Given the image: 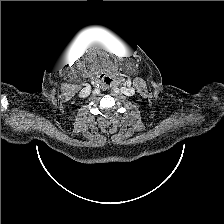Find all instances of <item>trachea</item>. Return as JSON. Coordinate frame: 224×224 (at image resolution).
I'll list each match as a JSON object with an SVG mask.
<instances>
[{
    "label": "trachea",
    "mask_w": 224,
    "mask_h": 224,
    "mask_svg": "<svg viewBox=\"0 0 224 224\" xmlns=\"http://www.w3.org/2000/svg\"><path fill=\"white\" fill-rule=\"evenodd\" d=\"M106 80L110 81L111 79L110 78H105V82H106Z\"/></svg>",
    "instance_id": "3493384b"
}]
</instances>
